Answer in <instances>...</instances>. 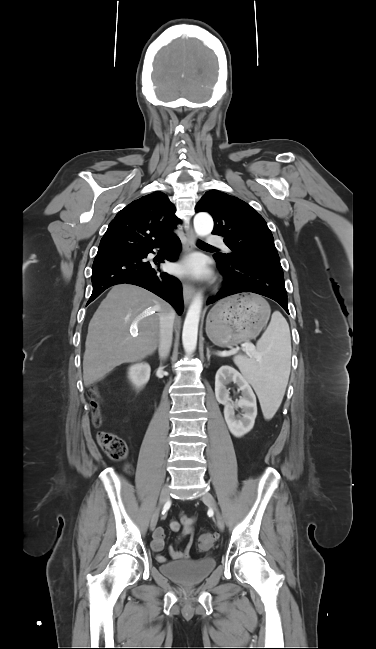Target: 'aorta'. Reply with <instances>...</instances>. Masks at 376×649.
I'll return each mask as SVG.
<instances>
[{
  "label": "aorta",
  "mask_w": 376,
  "mask_h": 649,
  "mask_svg": "<svg viewBox=\"0 0 376 649\" xmlns=\"http://www.w3.org/2000/svg\"><path fill=\"white\" fill-rule=\"evenodd\" d=\"M213 225V219L208 213L200 212L194 217V229L199 236L203 237L210 234L213 230ZM202 304V296L198 293L189 306L185 317L182 343L185 351L189 354L196 349Z\"/></svg>",
  "instance_id": "1"
}]
</instances>
